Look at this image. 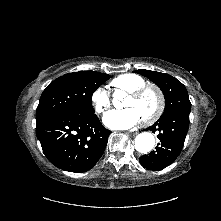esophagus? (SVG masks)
I'll use <instances>...</instances> for the list:
<instances>
[{"label": "esophagus", "instance_id": "1", "mask_svg": "<svg viewBox=\"0 0 221 221\" xmlns=\"http://www.w3.org/2000/svg\"><path fill=\"white\" fill-rule=\"evenodd\" d=\"M128 133L132 134L133 136L137 134V133H132L131 131H128Z\"/></svg>", "mask_w": 221, "mask_h": 221}]
</instances>
